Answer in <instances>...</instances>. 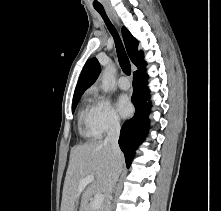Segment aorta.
Returning <instances> with one entry per match:
<instances>
[{"mask_svg":"<svg viewBox=\"0 0 221 211\" xmlns=\"http://www.w3.org/2000/svg\"><path fill=\"white\" fill-rule=\"evenodd\" d=\"M101 80H102L101 89L104 92H108L111 89L114 80L113 71L110 67H107L103 70L101 75Z\"/></svg>","mask_w":221,"mask_h":211,"instance_id":"obj_1","label":"aorta"}]
</instances>
